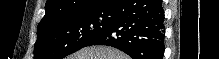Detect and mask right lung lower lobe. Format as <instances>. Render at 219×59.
Returning <instances> with one entry per match:
<instances>
[{"label": "right lung lower lobe", "instance_id": "obj_1", "mask_svg": "<svg viewBox=\"0 0 219 59\" xmlns=\"http://www.w3.org/2000/svg\"><path fill=\"white\" fill-rule=\"evenodd\" d=\"M112 11L109 27L86 46H112L132 59H162L165 32L162 0H118Z\"/></svg>", "mask_w": 219, "mask_h": 59}]
</instances>
